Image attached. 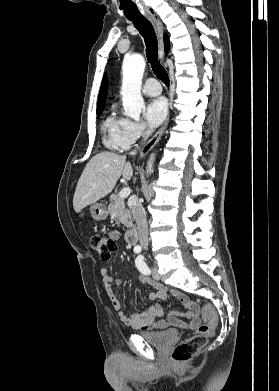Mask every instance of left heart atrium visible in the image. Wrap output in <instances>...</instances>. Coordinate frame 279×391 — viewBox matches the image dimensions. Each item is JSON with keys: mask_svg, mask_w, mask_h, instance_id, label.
Wrapping results in <instances>:
<instances>
[{"mask_svg": "<svg viewBox=\"0 0 279 391\" xmlns=\"http://www.w3.org/2000/svg\"><path fill=\"white\" fill-rule=\"evenodd\" d=\"M167 115V101L163 97L150 100L144 110L145 119L150 127L160 125Z\"/></svg>", "mask_w": 279, "mask_h": 391, "instance_id": "39dd6f15", "label": "left heart atrium"}]
</instances>
